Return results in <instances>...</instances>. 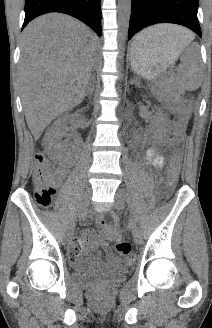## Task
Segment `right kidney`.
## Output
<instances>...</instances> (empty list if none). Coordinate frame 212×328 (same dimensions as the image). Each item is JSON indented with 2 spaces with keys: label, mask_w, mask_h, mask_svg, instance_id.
Returning a JSON list of instances; mask_svg holds the SVG:
<instances>
[{
  "label": "right kidney",
  "mask_w": 212,
  "mask_h": 328,
  "mask_svg": "<svg viewBox=\"0 0 212 328\" xmlns=\"http://www.w3.org/2000/svg\"><path fill=\"white\" fill-rule=\"evenodd\" d=\"M78 116L79 115L77 113L64 115V116L60 117L57 121L54 122V124L51 127V131L53 133V141H54L53 143L54 144L58 145V143L61 141L64 125L67 122H73V121L77 120Z\"/></svg>",
  "instance_id": "obj_1"
}]
</instances>
